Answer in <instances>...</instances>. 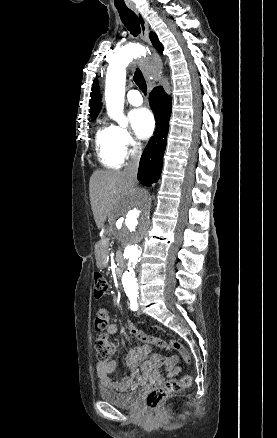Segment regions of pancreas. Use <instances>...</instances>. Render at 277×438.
Instances as JSON below:
<instances>
[{"mask_svg":"<svg viewBox=\"0 0 277 438\" xmlns=\"http://www.w3.org/2000/svg\"><path fill=\"white\" fill-rule=\"evenodd\" d=\"M112 239L111 231H102L101 239L96 240V250L97 253H110L111 247L109 240Z\"/></svg>","mask_w":277,"mask_h":438,"instance_id":"pancreas-1","label":"pancreas"}]
</instances>
